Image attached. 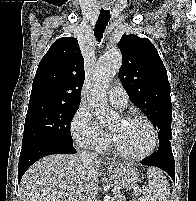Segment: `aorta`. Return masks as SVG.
Listing matches in <instances>:
<instances>
[{"label": "aorta", "mask_w": 196, "mask_h": 201, "mask_svg": "<svg viewBox=\"0 0 196 201\" xmlns=\"http://www.w3.org/2000/svg\"><path fill=\"white\" fill-rule=\"evenodd\" d=\"M121 64L122 56L118 50L106 52L97 61L88 101L101 123H109L117 117L116 112L108 104L107 91Z\"/></svg>", "instance_id": "obj_1"}]
</instances>
